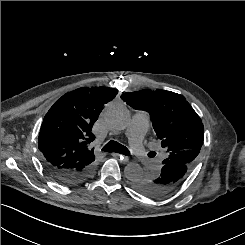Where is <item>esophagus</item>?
<instances>
[{"label": "esophagus", "mask_w": 245, "mask_h": 245, "mask_svg": "<svg viewBox=\"0 0 245 245\" xmlns=\"http://www.w3.org/2000/svg\"><path fill=\"white\" fill-rule=\"evenodd\" d=\"M111 155H112L113 157L120 158L121 162L126 163V162L129 161L128 157L123 156V155H121V154H119V153H111Z\"/></svg>", "instance_id": "1"}]
</instances>
